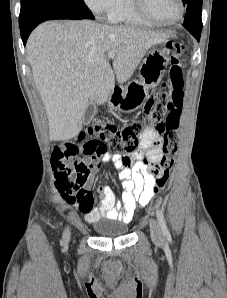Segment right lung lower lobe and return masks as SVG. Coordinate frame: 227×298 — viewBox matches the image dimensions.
<instances>
[{
  "label": "right lung lower lobe",
  "instance_id": "obj_1",
  "mask_svg": "<svg viewBox=\"0 0 227 298\" xmlns=\"http://www.w3.org/2000/svg\"><path fill=\"white\" fill-rule=\"evenodd\" d=\"M51 19H85V17L82 16H75V15H66V14H58V13H49V14H43L40 15L24 26L20 27L21 30V38L23 41V44L25 46L26 41L32 30L41 22H44L46 20H51Z\"/></svg>",
  "mask_w": 227,
  "mask_h": 298
}]
</instances>
